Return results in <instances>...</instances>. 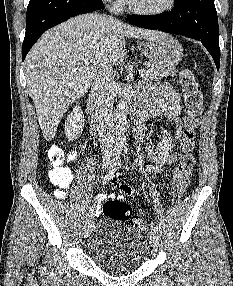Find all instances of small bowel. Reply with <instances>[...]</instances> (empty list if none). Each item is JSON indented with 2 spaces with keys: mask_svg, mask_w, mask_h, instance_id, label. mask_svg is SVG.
<instances>
[{
  "mask_svg": "<svg viewBox=\"0 0 233 286\" xmlns=\"http://www.w3.org/2000/svg\"><path fill=\"white\" fill-rule=\"evenodd\" d=\"M139 101L142 103L141 109L146 120L157 116H166L172 122L171 131L162 138L156 149L153 150L148 146L146 147L149 161L146 173L153 176L163 171L165 167L172 165L176 160L174 148L181 136L179 95L168 83H163L159 86L146 84L141 88ZM140 126H138V133L142 140V129ZM75 155L76 153L72 157H75ZM111 184L119 191V199H122L125 195L135 194L130 185L120 182L117 177L112 178ZM58 197L64 198V193L58 192ZM106 197V194H99L97 196V204Z\"/></svg>",
  "mask_w": 233,
  "mask_h": 286,
  "instance_id": "small-bowel-1",
  "label": "small bowel"
}]
</instances>
